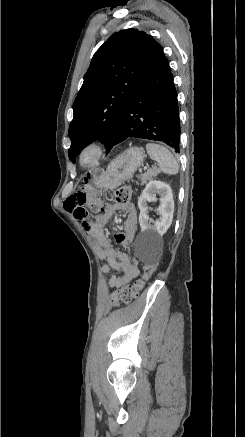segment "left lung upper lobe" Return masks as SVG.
I'll use <instances>...</instances> for the list:
<instances>
[{
	"label": "left lung upper lobe",
	"instance_id": "1",
	"mask_svg": "<svg viewBox=\"0 0 245 437\" xmlns=\"http://www.w3.org/2000/svg\"><path fill=\"white\" fill-rule=\"evenodd\" d=\"M159 46L145 32L126 29L114 33L96 51L73 104L68 134V155L73 163L96 139L108 151L112 148L126 102Z\"/></svg>",
	"mask_w": 245,
	"mask_h": 437
}]
</instances>
